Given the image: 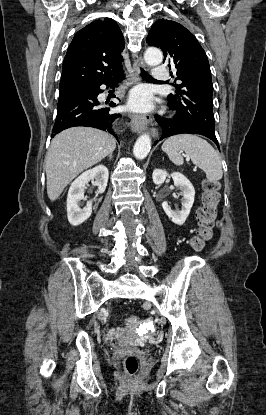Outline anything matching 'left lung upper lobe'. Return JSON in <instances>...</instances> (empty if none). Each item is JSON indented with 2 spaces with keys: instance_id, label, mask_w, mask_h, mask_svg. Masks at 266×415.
Listing matches in <instances>:
<instances>
[{
  "instance_id": "obj_1",
  "label": "left lung upper lobe",
  "mask_w": 266,
  "mask_h": 415,
  "mask_svg": "<svg viewBox=\"0 0 266 415\" xmlns=\"http://www.w3.org/2000/svg\"><path fill=\"white\" fill-rule=\"evenodd\" d=\"M147 42L163 51L165 62L174 71L171 74L181 81L168 96L169 106L184 120L214 132L211 71L197 39L181 24L159 19L152 25Z\"/></svg>"
}]
</instances>
